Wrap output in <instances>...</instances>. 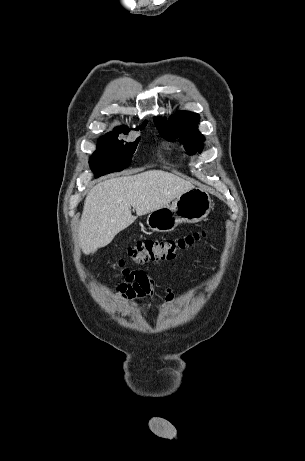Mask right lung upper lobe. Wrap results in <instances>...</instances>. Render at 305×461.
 <instances>
[{"label":"right lung upper lobe","mask_w":305,"mask_h":461,"mask_svg":"<svg viewBox=\"0 0 305 461\" xmlns=\"http://www.w3.org/2000/svg\"><path fill=\"white\" fill-rule=\"evenodd\" d=\"M120 129H127V128H125V127H120Z\"/></svg>","instance_id":"right-lung-upper-lobe-1"}]
</instances>
